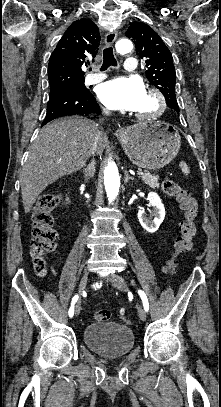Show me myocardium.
<instances>
[{"label": "myocardium", "mask_w": 221, "mask_h": 407, "mask_svg": "<svg viewBox=\"0 0 221 407\" xmlns=\"http://www.w3.org/2000/svg\"><path fill=\"white\" fill-rule=\"evenodd\" d=\"M146 93L151 96L155 101V109L151 112L141 113L137 112L135 116L142 120L155 119L161 116L166 109V99L164 94L156 87H149Z\"/></svg>", "instance_id": "obj_1"}]
</instances>
